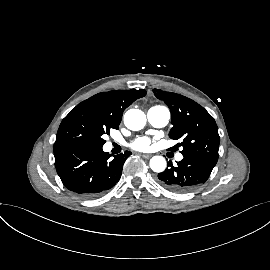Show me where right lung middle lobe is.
<instances>
[{"instance_id":"right-lung-middle-lobe-1","label":"right lung middle lobe","mask_w":270,"mask_h":270,"mask_svg":"<svg viewBox=\"0 0 270 270\" xmlns=\"http://www.w3.org/2000/svg\"><path fill=\"white\" fill-rule=\"evenodd\" d=\"M111 127L95 119L91 111L77 105L61 122L54 146L83 144L102 147L106 142L104 134H110Z\"/></svg>"}]
</instances>
